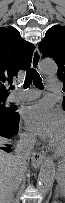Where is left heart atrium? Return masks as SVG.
Segmentation results:
<instances>
[{
    "label": "left heart atrium",
    "instance_id": "1",
    "mask_svg": "<svg viewBox=\"0 0 65 203\" xmlns=\"http://www.w3.org/2000/svg\"><path fill=\"white\" fill-rule=\"evenodd\" d=\"M23 118L31 132L52 143L64 131L65 120L62 113L47 100L28 106L23 113Z\"/></svg>",
    "mask_w": 65,
    "mask_h": 203
}]
</instances>
